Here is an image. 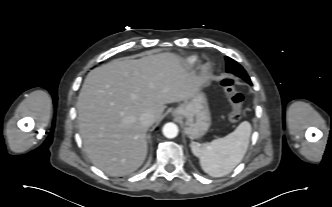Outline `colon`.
Listing matches in <instances>:
<instances>
[{
    "label": "colon",
    "instance_id": "obj_1",
    "mask_svg": "<svg viewBox=\"0 0 332 207\" xmlns=\"http://www.w3.org/2000/svg\"><path fill=\"white\" fill-rule=\"evenodd\" d=\"M222 86L231 106V110L227 116L228 121L235 123L239 121L242 116L244 96L236 89L235 82L231 77L224 78Z\"/></svg>",
    "mask_w": 332,
    "mask_h": 207
}]
</instances>
